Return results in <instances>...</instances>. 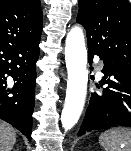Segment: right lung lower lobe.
<instances>
[{
  "label": "right lung lower lobe",
  "instance_id": "1",
  "mask_svg": "<svg viewBox=\"0 0 131 151\" xmlns=\"http://www.w3.org/2000/svg\"><path fill=\"white\" fill-rule=\"evenodd\" d=\"M39 42L0 45V119L16 127L29 141ZM6 75L11 76L15 83L8 84Z\"/></svg>",
  "mask_w": 131,
  "mask_h": 151
}]
</instances>
